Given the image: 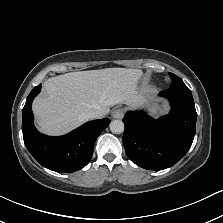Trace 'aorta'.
Here are the masks:
<instances>
[{
    "instance_id": "obj_1",
    "label": "aorta",
    "mask_w": 223,
    "mask_h": 223,
    "mask_svg": "<svg viewBox=\"0 0 223 223\" xmlns=\"http://www.w3.org/2000/svg\"><path fill=\"white\" fill-rule=\"evenodd\" d=\"M110 130L113 133H122L124 131V123L121 120H113L110 123Z\"/></svg>"
}]
</instances>
